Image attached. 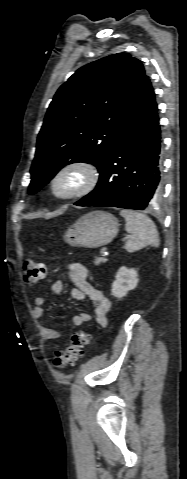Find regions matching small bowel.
Wrapping results in <instances>:
<instances>
[{"mask_svg": "<svg viewBox=\"0 0 187 479\" xmlns=\"http://www.w3.org/2000/svg\"><path fill=\"white\" fill-rule=\"evenodd\" d=\"M68 274L75 287L70 291V298L74 301H83L89 299L94 306L95 321L99 326L107 324V315L111 309V302L108 297L100 290L94 288L88 280L87 270L80 264H72L68 267ZM64 290L62 280H56L51 287L54 295H59ZM46 298L42 295L36 296L34 299L33 315L36 320H44V305ZM91 315L82 312L72 317V322L77 327L84 326L91 320ZM44 338L48 342H53L59 338V333L49 327H42Z\"/></svg>", "mask_w": 187, "mask_h": 479, "instance_id": "c3829d8e", "label": "small bowel"}]
</instances>
